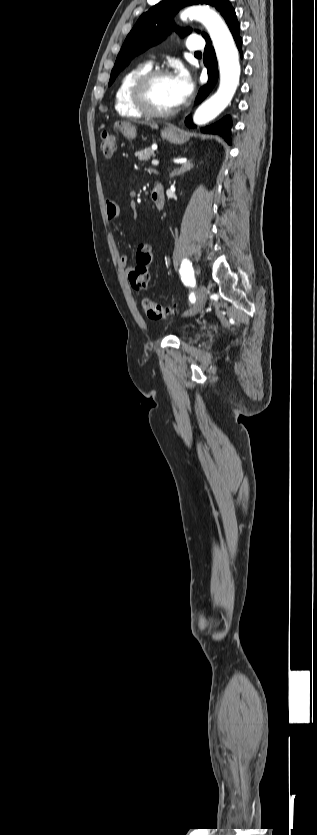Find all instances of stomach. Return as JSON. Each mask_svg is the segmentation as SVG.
I'll return each instance as SVG.
<instances>
[{
  "label": "stomach",
  "mask_w": 317,
  "mask_h": 835,
  "mask_svg": "<svg viewBox=\"0 0 317 835\" xmlns=\"http://www.w3.org/2000/svg\"><path fill=\"white\" fill-rule=\"evenodd\" d=\"M114 128L128 139L136 137V128L129 122L117 121L114 123ZM161 137L173 144H183L189 139V135L186 132L177 130L173 126H166L161 131Z\"/></svg>",
  "instance_id": "1"
}]
</instances>
